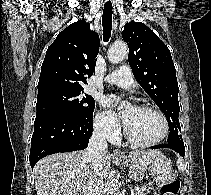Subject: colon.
<instances>
[{
    "label": "colon",
    "mask_w": 211,
    "mask_h": 195,
    "mask_svg": "<svg viewBox=\"0 0 211 195\" xmlns=\"http://www.w3.org/2000/svg\"><path fill=\"white\" fill-rule=\"evenodd\" d=\"M165 195H177L180 190V182L178 180L166 183L161 188Z\"/></svg>",
    "instance_id": "colon-1"
}]
</instances>
